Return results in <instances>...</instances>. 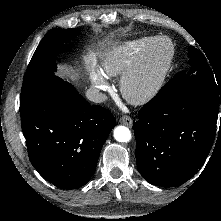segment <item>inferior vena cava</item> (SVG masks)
I'll return each instance as SVG.
<instances>
[{"label":"inferior vena cava","instance_id":"obj_1","mask_svg":"<svg viewBox=\"0 0 221 221\" xmlns=\"http://www.w3.org/2000/svg\"><path fill=\"white\" fill-rule=\"evenodd\" d=\"M86 97L95 103H102L107 100V96L101 92H99L97 89H88L86 92Z\"/></svg>","mask_w":221,"mask_h":221}]
</instances>
